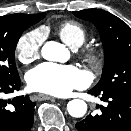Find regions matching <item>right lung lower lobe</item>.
<instances>
[{
	"label": "right lung lower lobe",
	"mask_w": 131,
	"mask_h": 131,
	"mask_svg": "<svg viewBox=\"0 0 131 131\" xmlns=\"http://www.w3.org/2000/svg\"><path fill=\"white\" fill-rule=\"evenodd\" d=\"M19 75L0 78V131H29L33 126L35 102L29 96L5 100L4 95L20 89Z\"/></svg>",
	"instance_id": "98d812e1"
}]
</instances>
